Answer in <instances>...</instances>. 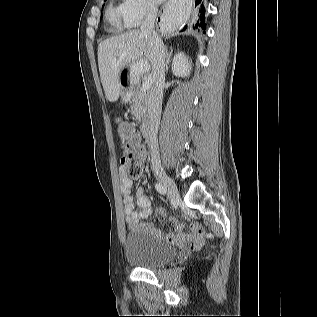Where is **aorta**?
Returning a JSON list of instances; mask_svg holds the SVG:
<instances>
[{"label": "aorta", "mask_w": 317, "mask_h": 317, "mask_svg": "<svg viewBox=\"0 0 317 317\" xmlns=\"http://www.w3.org/2000/svg\"><path fill=\"white\" fill-rule=\"evenodd\" d=\"M181 23V17L176 10L169 9L163 18V30L170 32L177 28Z\"/></svg>", "instance_id": "aorta-1"}]
</instances>
